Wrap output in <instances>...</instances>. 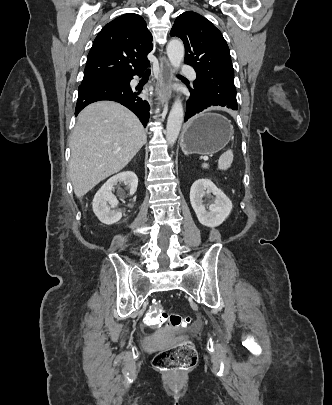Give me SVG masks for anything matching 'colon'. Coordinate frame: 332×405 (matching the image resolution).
I'll list each match as a JSON object with an SVG mask.
<instances>
[{
	"instance_id": "5ec220e1",
	"label": "colon",
	"mask_w": 332,
	"mask_h": 405,
	"mask_svg": "<svg viewBox=\"0 0 332 405\" xmlns=\"http://www.w3.org/2000/svg\"><path fill=\"white\" fill-rule=\"evenodd\" d=\"M147 327H152L153 324H166L169 330L187 328L192 318L190 316H182L179 314L169 313L161 305L156 304L149 308V312L145 317ZM197 362V354L194 345L187 340L180 345L161 350L156 353L153 363L154 366L165 372H184L192 369Z\"/></svg>"
}]
</instances>
